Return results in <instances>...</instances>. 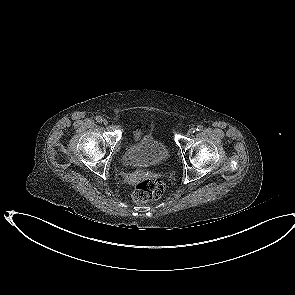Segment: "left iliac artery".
Here are the masks:
<instances>
[{
    "label": "left iliac artery",
    "instance_id": "44dca946",
    "mask_svg": "<svg viewBox=\"0 0 295 295\" xmlns=\"http://www.w3.org/2000/svg\"><path fill=\"white\" fill-rule=\"evenodd\" d=\"M196 130H197V131H202V130H203V126L198 125L197 128H196Z\"/></svg>",
    "mask_w": 295,
    "mask_h": 295
}]
</instances>
